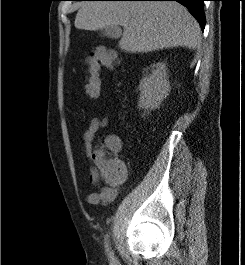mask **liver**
<instances>
[{
	"label": "liver",
	"mask_w": 245,
	"mask_h": 265,
	"mask_svg": "<svg viewBox=\"0 0 245 265\" xmlns=\"http://www.w3.org/2000/svg\"><path fill=\"white\" fill-rule=\"evenodd\" d=\"M75 27L95 31L121 25L119 47L129 53L183 46L196 49L201 43L198 22L174 1H86L78 4Z\"/></svg>",
	"instance_id": "1"
}]
</instances>
